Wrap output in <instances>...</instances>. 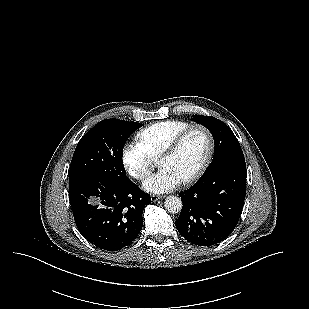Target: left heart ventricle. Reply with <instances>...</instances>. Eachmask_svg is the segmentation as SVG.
<instances>
[{
	"mask_svg": "<svg viewBox=\"0 0 309 309\" xmlns=\"http://www.w3.org/2000/svg\"><path fill=\"white\" fill-rule=\"evenodd\" d=\"M207 151V137L202 130L197 129L185 138L174 155L160 160L159 166L172 170L183 181L197 171Z\"/></svg>",
	"mask_w": 309,
	"mask_h": 309,
	"instance_id": "1",
	"label": "left heart ventricle"
}]
</instances>
